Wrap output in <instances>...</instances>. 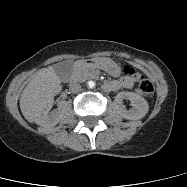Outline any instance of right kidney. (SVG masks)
<instances>
[{
    "mask_svg": "<svg viewBox=\"0 0 187 187\" xmlns=\"http://www.w3.org/2000/svg\"><path fill=\"white\" fill-rule=\"evenodd\" d=\"M53 102H54L53 99L48 101L46 108L42 111L41 115L36 121L38 125L45 127V128L53 127L56 124H58V122L62 118L65 112V107L63 105L59 106L58 109L49 112L50 108L53 105Z\"/></svg>",
    "mask_w": 187,
    "mask_h": 187,
    "instance_id": "right-kidney-1",
    "label": "right kidney"
}]
</instances>
